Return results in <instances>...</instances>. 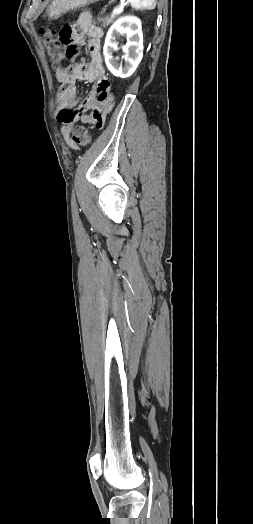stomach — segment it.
Wrapping results in <instances>:
<instances>
[{
  "instance_id": "1",
  "label": "stomach",
  "mask_w": 253,
  "mask_h": 524,
  "mask_svg": "<svg viewBox=\"0 0 253 524\" xmlns=\"http://www.w3.org/2000/svg\"><path fill=\"white\" fill-rule=\"evenodd\" d=\"M98 0H52L46 14L50 20H56L69 11L77 10Z\"/></svg>"
}]
</instances>
